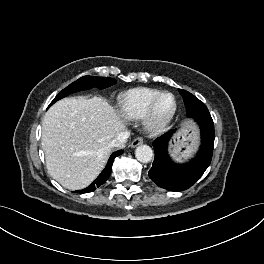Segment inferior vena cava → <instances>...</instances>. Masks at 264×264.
Returning <instances> with one entry per match:
<instances>
[{
  "label": "inferior vena cava",
  "instance_id": "1",
  "mask_svg": "<svg viewBox=\"0 0 264 264\" xmlns=\"http://www.w3.org/2000/svg\"><path fill=\"white\" fill-rule=\"evenodd\" d=\"M128 137H129V132L119 133L117 137L111 141V144H110L111 147H116L119 149L124 148Z\"/></svg>",
  "mask_w": 264,
  "mask_h": 264
}]
</instances>
